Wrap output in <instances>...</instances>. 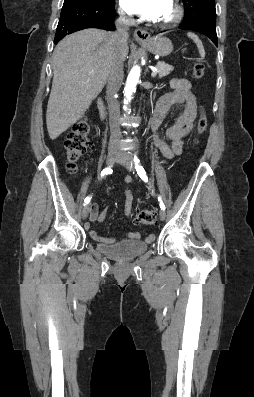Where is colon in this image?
Listing matches in <instances>:
<instances>
[{
  "label": "colon",
  "mask_w": 254,
  "mask_h": 397,
  "mask_svg": "<svg viewBox=\"0 0 254 397\" xmlns=\"http://www.w3.org/2000/svg\"><path fill=\"white\" fill-rule=\"evenodd\" d=\"M192 75L196 79H200L204 75V66L201 61H197L192 70ZM207 116L205 109L201 107L200 116L196 127V143L199 137L207 128ZM90 122L86 117L79 119L70 129L64 145L67 153L68 171L74 174L77 171V163L82 158L89 146ZM133 220L138 225H153L157 223L158 217L154 210L143 209L138 210L133 215Z\"/></svg>",
  "instance_id": "1"
}]
</instances>
